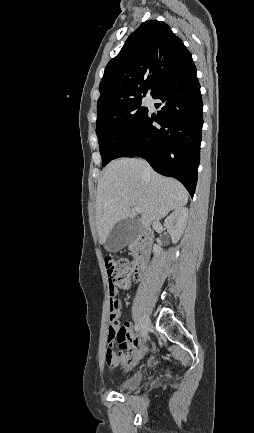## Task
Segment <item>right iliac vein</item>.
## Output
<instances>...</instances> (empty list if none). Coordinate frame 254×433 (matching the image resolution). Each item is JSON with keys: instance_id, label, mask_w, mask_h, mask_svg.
<instances>
[{"instance_id": "63e3f726", "label": "right iliac vein", "mask_w": 254, "mask_h": 433, "mask_svg": "<svg viewBox=\"0 0 254 433\" xmlns=\"http://www.w3.org/2000/svg\"><path fill=\"white\" fill-rule=\"evenodd\" d=\"M149 325H150L149 319L147 317H144L140 325V333L142 337H146V335L148 334Z\"/></svg>"}]
</instances>
